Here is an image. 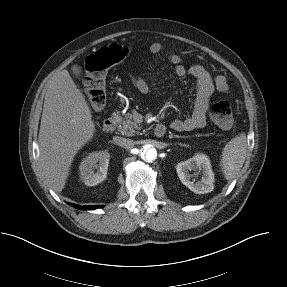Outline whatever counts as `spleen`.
<instances>
[{"mask_svg":"<svg viewBox=\"0 0 287 287\" xmlns=\"http://www.w3.org/2000/svg\"><path fill=\"white\" fill-rule=\"evenodd\" d=\"M247 153V138L245 133L232 138L223 148L220 161L225 178L233 180L243 167Z\"/></svg>","mask_w":287,"mask_h":287,"instance_id":"spleen-1","label":"spleen"}]
</instances>
